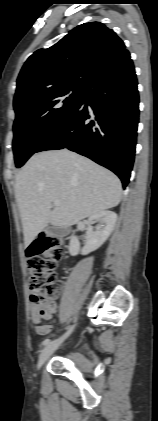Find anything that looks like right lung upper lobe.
I'll list each match as a JSON object with an SVG mask.
<instances>
[{"instance_id": "obj_1", "label": "right lung upper lobe", "mask_w": 158, "mask_h": 421, "mask_svg": "<svg viewBox=\"0 0 158 421\" xmlns=\"http://www.w3.org/2000/svg\"><path fill=\"white\" fill-rule=\"evenodd\" d=\"M128 52L116 33L100 22L84 23L25 62L17 79L14 104L48 90L84 87L105 65Z\"/></svg>"}]
</instances>
